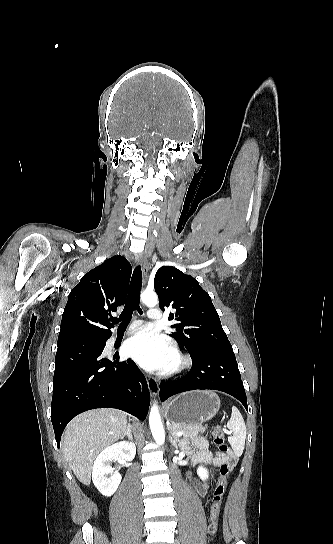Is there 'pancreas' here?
<instances>
[{
	"label": "pancreas",
	"mask_w": 333,
	"mask_h": 544,
	"mask_svg": "<svg viewBox=\"0 0 333 544\" xmlns=\"http://www.w3.org/2000/svg\"><path fill=\"white\" fill-rule=\"evenodd\" d=\"M168 430L173 433L180 431L186 437H195L198 435V433L200 432L203 433L205 431V428H203L201 425L184 426L180 424L171 423L170 425H168Z\"/></svg>",
	"instance_id": "obj_1"
}]
</instances>
